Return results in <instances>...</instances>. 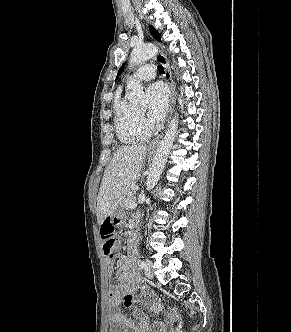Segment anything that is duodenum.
I'll use <instances>...</instances> for the list:
<instances>
[{"instance_id":"obj_1","label":"duodenum","mask_w":291,"mask_h":332,"mask_svg":"<svg viewBox=\"0 0 291 332\" xmlns=\"http://www.w3.org/2000/svg\"><path fill=\"white\" fill-rule=\"evenodd\" d=\"M131 226H132L133 228H135V227H136V223L133 221V222L131 223ZM130 246H131V248H133V246H134V241H131Z\"/></svg>"}]
</instances>
